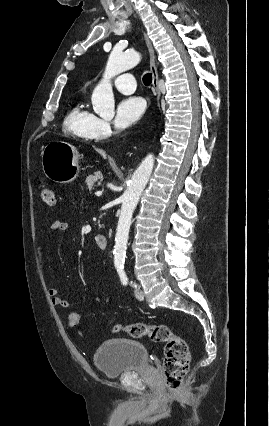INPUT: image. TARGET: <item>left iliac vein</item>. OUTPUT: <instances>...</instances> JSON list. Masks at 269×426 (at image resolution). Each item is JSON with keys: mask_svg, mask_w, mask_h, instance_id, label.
<instances>
[{"mask_svg": "<svg viewBox=\"0 0 269 426\" xmlns=\"http://www.w3.org/2000/svg\"><path fill=\"white\" fill-rule=\"evenodd\" d=\"M135 296L138 300H143L144 299V294L140 289H135Z\"/></svg>", "mask_w": 269, "mask_h": 426, "instance_id": "1", "label": "left iliac vein"}]
</instances>
